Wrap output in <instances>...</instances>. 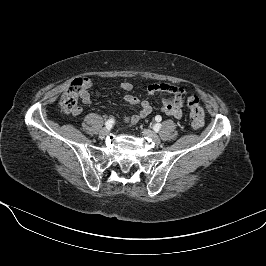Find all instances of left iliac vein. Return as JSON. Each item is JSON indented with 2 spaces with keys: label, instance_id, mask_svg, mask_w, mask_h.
I'll return each instance as SVG.
<instances>
[{
  "label": "left iliac vein",
  "instance_id": "obj_1",
  "mask_svg": "<svg viewBox=\"0 0 266 266\" xmlns=\"http://www.w3.org/2000/svg\"><path fill=\"white\" fill-rule=\"evenodd\" d=\"M142 134L148 138H150L155 144H159L160 143V138L158 137V135L156 133H154L153 131L149 130V129H144L142 131Z\"/></svg>",
  "mask_w": 266,
  "mask_h": 266
}]
</instances>
